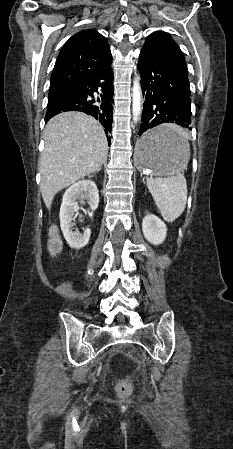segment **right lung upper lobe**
Wrapping results in <instances>:
<instances>
[{
    "instance_id": "obj_1",
    "label": "right lung upper lobe",
    "mask_w": 233,
    "mask_h": 449,
    "mask_svg": "<svg viewBox=\"0 0 233 449\" xmlns=\"http://www.w3.org/2000/svg\"><path fill=\"white\" fill-rule=\"evenodd\" d=\"M112 62L107 39L96 30L73 35L61 49L50 80V90L72 87Z\"/></svg>"
}]
</instances>
